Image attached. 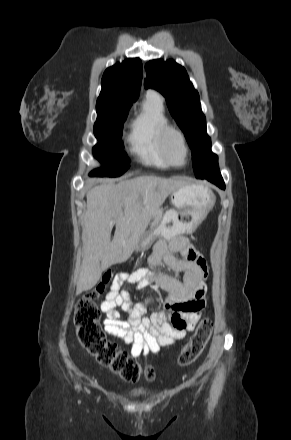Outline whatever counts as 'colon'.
Returning a JSON list of instances; mask_svg holds the SVG:
<instances>
[{
	"instance_id": "colon-1",
	"label": "colon",
	"mask_w": 291,
	"mask_h": 440,
	"mask_svg": "<svg viewBox=\"0 0 291 440\" xmlns=\"http://www.w3.org/2000/svg\"><path fill=\"white\" fill-rule=\"evenodd\" d=\"M112 279V272L106 270L99 284L94 286L81 298L74 314V326L80 344L96 359L118 373L127 381H138L142 377L152 380L156 371L152 366L142 368L121 351L117 345L105 340L99 324V312L96 300L104 293L105 285ZM213 330V322L205 318L199 324L190 341L180 351L178 362L188 365L195 361L204 350Z\"/></svg>"
}]
</instances>
